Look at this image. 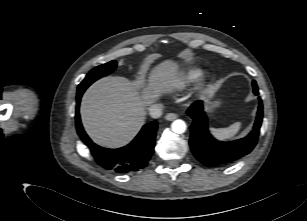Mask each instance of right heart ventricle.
Listing matches in <instances>:
<instances>
[{
    "label": "right heart ventricle",
    "instance_id": "right-heart-ventricle-1",
    "mask_svg": "<svg viewBox=\"0 0 307 221\" xmlns=\"http://www.w3.org/2000/svg\"><path fill=\"white\" fill-rule=\"evenodd\" d=\"M202 74L201 69L199 68H187L181 71L179 74L175 75L171 79L172 86H181L183 84L192 82L199 78Z\"/></svg>",
    "mask_w": 307,
    "mask_h": 221
}]
</instances>
